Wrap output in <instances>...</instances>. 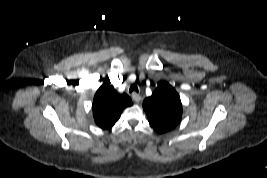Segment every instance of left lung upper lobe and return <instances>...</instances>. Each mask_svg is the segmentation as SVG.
Returning a JSON list of instances; mask_svg holds the SVG:
<instances>
[{
    "label": "left lung upper lobe",
    "mask_w": 267,
    "mask_h": 178,
    "mask_svg": "<svg viewBox=\"0 0 267 178\" xmlns=\"http://www.w3.org/2000/svg\"><path fill=\"white\" fill-rule=\"evenodd\" d=\"M150 125L158 132L164 133L176 127L182 117L180 96L168 83H162L152 96L143 102Z\"/></svg>",
    "instance_id": "left-lung-upper-lobe-1"
}]
</instances>
